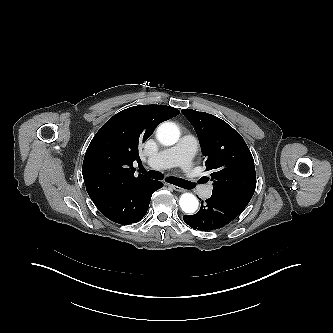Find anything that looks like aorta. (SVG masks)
I'll list each match as a JSON object with an SVG mask.
<instances>
[{
    "label": "aorta",
    "instance_id": "1",
    "mask_svg": "<svg viewBox=\"0 0 333 333\" xmlns=\"http://www.w3.org/2000/svg\"><path fill=\"white\" fill-rule=\"evenodd\" d=\"M180 136L179 128L172 122H164L157 129V138L165 146L177 143ZM179 205L183 212L192 214L198 209V199L191 193H184L179 199Z\"/></svg>",
    "mask_w": 333,
    "mask_h": 333
}]
</instances>
